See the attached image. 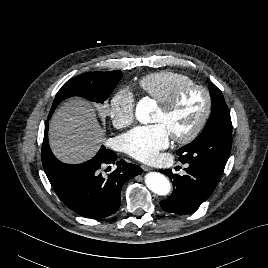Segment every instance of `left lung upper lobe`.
Segmentation results:
<instances>
[{"label":"left lung upper lobe","mask_w":268,"mask_h":268,"mask_svg":"<svg viewBox=\"0 0 268 268\" xmlns=\"http://www.w3.org/2000/svg\"><path fill=\"white\" fill-rule=\"evenodd\" d=\"M212 99L211 115L202 133L177 154L183 164L207 167L221 176L231 151L232 123L221 91L209 84Z\"/></svg>","instance_id":"left-lung-upper-lobe-1"}]
</instances>
